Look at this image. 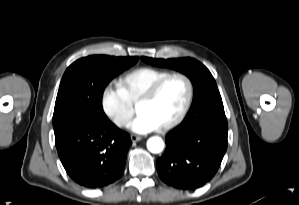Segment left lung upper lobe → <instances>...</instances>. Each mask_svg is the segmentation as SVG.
I'll return each mask as SVG.
<instances>
[{
  "label": "left lung upper lobe",
  "instance_id": "5c2ea615",
  "mask_svg": "<svg viewBox=\"0 0 299 205\" xmlns=\"http://www.w3.org/2000/svg\"><path fill=\"white\" fill-rule=\"evenodd\" d=\"M141 59L154 66L178 70L190 78L194 86V98L185 119H198L213 111L224 110L222 99L213 76L197 60L192 58L164 60L148 57H141Z\"/></svg>",
  "mask_w": 299,
  "mask_h": 205
}]
</instances>
